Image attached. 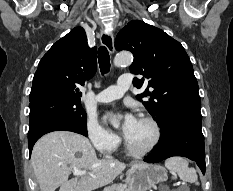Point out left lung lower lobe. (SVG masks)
Segmentation results:
<instances>
[{"label":"left lung lower lobe","instance_id":"1","mask_svg":"<svg viewBox=\"0 0 233 191\" xmlns=\"http://www.w3.org/2000/svg\"><path fill=\"white\" fill-rule=\"evenodd\" d=\"M172 156H183L196 161L205 174L204 136L201 120L179 119L170 123L152 154L145 158L148 163H157Z\"/></svg>","mask_w":233,"mask_h":191}]
</instances>
